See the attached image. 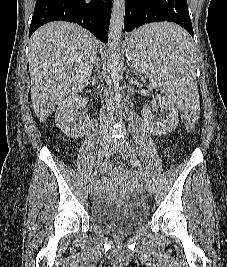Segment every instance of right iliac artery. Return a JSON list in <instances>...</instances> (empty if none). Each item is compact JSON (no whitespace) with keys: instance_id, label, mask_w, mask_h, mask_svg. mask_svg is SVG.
<instances>
[{"instance_id":"1","label":"right iliac artery","mask_w":227,"mask_h":267,"mask_svg":"<svg viewBox=\"0 0 227 267\" xmlns=\"http://www.w3.org/2000/svg\"><path fill=\"white\" fill-rule=\"evenodd\" d=\"M96 175H97V171H94L92 178H93V176H96Z\"/></svg>"}]
</instances>
